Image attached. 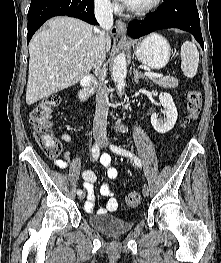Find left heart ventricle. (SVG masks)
I'll return each instance as SVG.
<instances>
[{
	"label": "left heart ventricle",
	"mask_w": 221,
	"mask_h": 263,
	"mask_svg": "<svg viewBox=\"0 0 221 263\" xmlns=\"http://www.w3.org/2000/svg\"><path fill=\"white\" fill-rule=\"evenodd\" d=\"M152 0H132L131 3L129 4L130 6H144L148 3H150Z\"/></svg>",
	"instance_id": "1"
}]
</instances>
